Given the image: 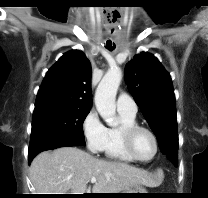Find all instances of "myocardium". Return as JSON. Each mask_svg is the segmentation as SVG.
<instances>
[{
  "label": "myocardium",
  "mask_w": 208,
  "mask_h": 198,
  "mask_svg": "<svg viewBox=\"0 0 208 198\" xmlns=\"http://www.w3.org/2000/svg\"><path fill=\"white\" fill-rule=\"evenodd\" d=\"M138 131H146L147 133H149L151 135V137L153 138L154 144H155V151L154 154L151 158L149 159H143L141 157L138 156V154L136 153L134 146H133V140L134 137L136 135V133ZM122 138H123V143L124 146L127 150V152L136 160L139 162H150L152 161L158 154L159 151V141L158 138L156 136V134L154 133V131L152 129H150L149 127L140 125V124H133V125H129L126 126L122 129Z\"/></svg>",
  "instance_id": "f54148a6"
}]
</instances>
